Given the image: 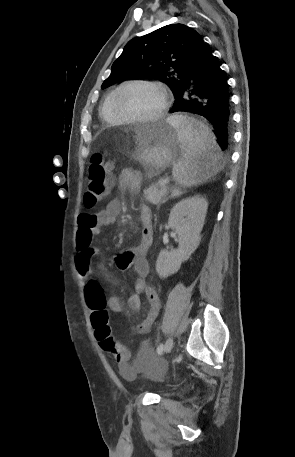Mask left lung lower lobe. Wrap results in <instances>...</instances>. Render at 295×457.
<instances>
[{"instance_id": "1", "label": "left lung lower lobe", "mask_w": 295, "mask_h": 457, "mask_svg": "<svg viewBox=\"0 0 295 457\" xmlns=\"http://www.w3.org/2000/svg\"><path fill=\"white\" fill-rule=\"evenodd\" d=\"M177 111L205 117L214 127L215 141L223 151L228 149L231 139L229 92L223 70L204 41L184 73L170 113Z\"/></svg>"}]
</instances>
